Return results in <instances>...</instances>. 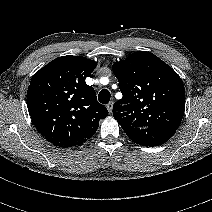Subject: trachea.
<instances>
[{"label":"trachea","instance_id":"3493384b","mask_svg":"<svg viewBox=\"0 0 212 212\" xmlns=\"http://www.w3.org/2000/svg\"><path fill=\"white\" fill-rule=\"evenodd\" d=\"M110 96V92L107 89H103L100 91L98 99L102 104H107L110 100Z\"/></svg>","mask_w":212,"mask_h":212}]
</instances>
